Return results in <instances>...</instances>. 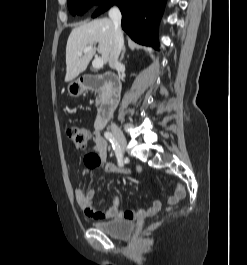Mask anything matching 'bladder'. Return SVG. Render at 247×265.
<instances>
[{
  "label": "bladder",
  "instance_id": "31cf9c89",
  "mask_svg": "<svg viewBox=\"0 0 247 265\" xmlns=\"http://www.w3.org/2000/svg\"><path fill=\"white\" fill-rule=\"evenodd\" d=\"M92 225L94 228L114 238L127 237L131 235L134 229V225L129 219L94 221Z\"/></svg>",
  "mask_w": 247,
  "mask_h": 265
}]
</instances>
